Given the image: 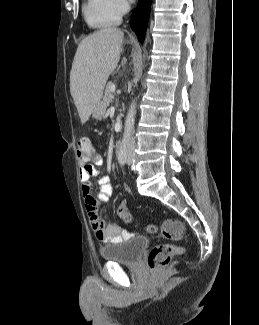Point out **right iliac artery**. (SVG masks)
<instances>
[{"mask_svg":"<svg viewBox=\"0 0 259 325\" xmlns=\"http://www.w3.org/2000/svg\"><path fill=\"white\" fill-rule=\"evenodd\" d=\"M118 161L121 165H124L127 161V151H126V147H124V149H122V151L119 153L118 155Z\"/></svg>","mask_w":259,"mask_h":325,"instance_id":"obj_1","label":"right iliac artery"}]
</instances>
